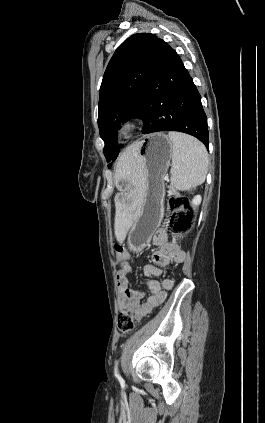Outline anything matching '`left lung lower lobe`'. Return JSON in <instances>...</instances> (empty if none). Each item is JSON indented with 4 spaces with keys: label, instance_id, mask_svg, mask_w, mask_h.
<instances>
[{
    "label": "left lung lower lobe",
    "instance_id": "0a47b994",
    "mask_svg": "<svg viewBox=\"0 0 265 423\" xmlns=\"http://www.w3.org/2000/svg\"><path fill=\"white\" fill-rule=\"evenodd\" d=\"M137 118L144 122L143 134L179 131L208 147L200 94L176 51L164 41L141 95Z\"/></svg>",
    "mask_w": 265,
    "mask_h": 423
}]
</instances>
